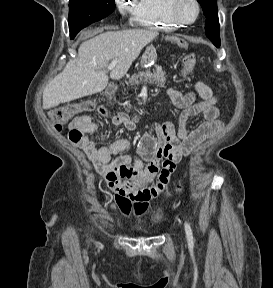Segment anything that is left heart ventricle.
Here are the masks:
<instances>
[{"label": "left heart ventricle", "instance_id": "b2bd125f", "mask_svg": "<svg viewBox=\"0 0 273 288\" xmlns=\"http://www.w3.org/2000/svg\"><path fill=\"white\" fill-rule=\"evenodd\" d=\"M179 14L185 20H192L196 15V8L191 0H182L178 8Z\"/></svg>", "mask_w": 273, "mask_h": 288}]
</instances>
